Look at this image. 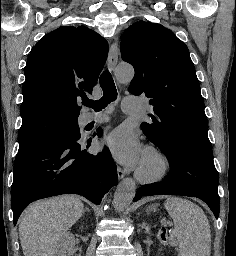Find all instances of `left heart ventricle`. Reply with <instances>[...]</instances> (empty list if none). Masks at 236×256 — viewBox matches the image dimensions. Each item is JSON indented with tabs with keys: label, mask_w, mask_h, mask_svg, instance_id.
Wrapping results in <instances>:
<instances>
[{
	"label": "left heart ventricle",
	"mask_w": 236,
	"mask_h": 256,
	"mask_svg": "<svg viewBox=\"0 0 236 256\" xmlns=\"http://www.w3.org/2000/svg\"><path fill=\"white\" fill-rule=\"evenodd\" d=\"M156 166L155 160L151 155H147L144 153L140 163L139 167L146 173H151L154 171Z\"/></svg>",
	"instance_id": "left-heart-ventricle-1"
}]
</instances>
